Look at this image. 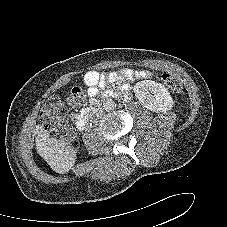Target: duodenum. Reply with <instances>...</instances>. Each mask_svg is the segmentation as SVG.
Wrapping results in <instances>:
<instances>
[{"mask_svg":"<svg viewBox=\"0 0 227 227\" xmlns=\"http://www.w3.org/2000/svg\"><path fill=\"white\" fill-rule=\"evenodd\" d=\"M98 106V102H93L89 107L85 108L80 112L76 119V127L79 130H84L87 126L89 115L93 109Z\"/></svg>","mask_w":227,"mask_h":227,"instance_id":"obj_1","label":"duodenum"}]
</instances>
